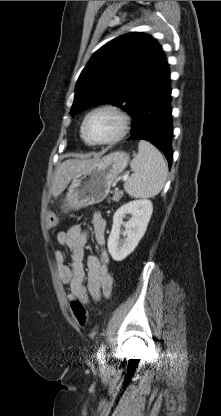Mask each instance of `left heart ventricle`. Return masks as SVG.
<instances>
[{
	"label": "left heart ventricle",
	"instance_id": "left-heart-ventricle-1",
	"mask_svg": "<svg viewBox=\"0 0 221 416\" xmlns=\"http://www.w3.org/2000/svg\"><path fill=\"white\" fill-rule=\"evenodd\" d=\"M119 121L109 112H99L90 117L86 131L89 137L95 140H105L116 134Z\"/></svg>",
	"mask_w": 221,
	"mask_h": 416
}]
</instances>
